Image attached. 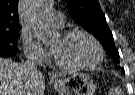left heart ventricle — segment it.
<instances>
[{"instance_id": "obj_1", "label": "left heart ventricle", "mask_w": 135, "mask_h": 95, "mask_svg": "<svg viewBox=\"0 0 135 95\" xmlns=\"http://www.w3.org/2000/svg\"><path fill=\"white\" fill-rule=\"evenodd\" d=\"M51 48L58 60L69 65L90 64L98 56L95 45L83 35H75L67 39L60 35L51 43Z\"/></svg>"}]
</instances>
